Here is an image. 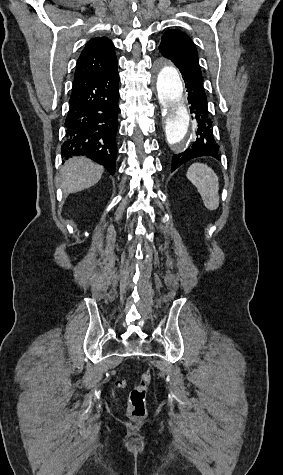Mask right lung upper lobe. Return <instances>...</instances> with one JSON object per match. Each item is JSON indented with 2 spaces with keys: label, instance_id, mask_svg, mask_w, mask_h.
Listing matches in <instances>:
<instances>
[{
  "label": "right lung upper lobe",
  "instance_id": "right-lung-upper-lobe-1",
  "mask_svg": "<svg viewBox=\"0 0 283 475\" xmlns=\"http://www.w3.org/2000/svg\"><path fill=\"white\" fill-rule=\"evenodd\" d=\"M117 69L114 45L107 37L91 39L84 47L76 64L74 78L102 75Z\"/></svg>",
  "mask_w": 283,
  "mask_h": 475
}]
</instances>
